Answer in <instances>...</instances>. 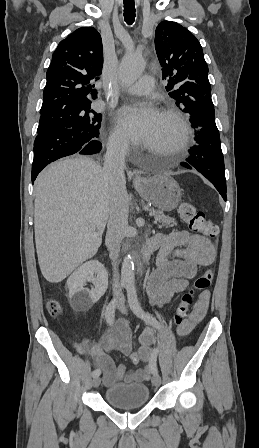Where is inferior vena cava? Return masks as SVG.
I'll use <instances>...</instances> for the list:
<instances>
[{"label":"inferior vena cava","instance_id":"1","mask_svg":"<svg viewBox=\"0 0 259 448\" xmlns=\"http://www.w3.org/2000/svg\"><path fill=\"white\" fill-rule=\"evenodd\" d=\"M128 142L123 138H111L103 164V180L110 192V214L107 224L106 246L113 266L119 258L121 242L128 230L129 200L125 188V162ZM113 292L119 304H124L123 294H119L118 272L114 268Z\"/></svg>","mask_w":259,"mask_h":448}]
</instances>
